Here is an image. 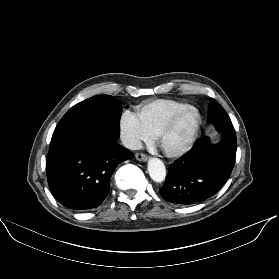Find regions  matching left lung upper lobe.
<instances>
[{"mask_svg":"<svg viewBox=\"0 0 279 279\" xmlns=\"http://www.w3.org/2000/svg\"><path fill=\"white\" fill-rule=\"evenodd\" d=\"M207 122L213 124L217 131L220 132L224 131V127L226 125H230L233 128L229 116L222 108V106H220L214 99H211V102L209 104Z\"/></svg>","mask_w":279,"mask_h":279,"instance_id":"5c2ea615","label":"left lung upper lobe"}]
</instances>
